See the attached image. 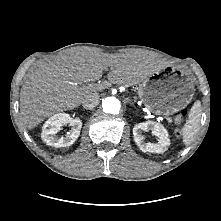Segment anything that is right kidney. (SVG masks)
I'll use <instances>...</instances> for the list:
<instances>
[{
  "instance_id": "right-kidney-1",
  "label": "right kidney",
  "mask_w": 221,
  "mask_h": 221,
  "mask_svg": "<svg viewBox=\"0 0 221 221\" xmlns=\"http://www.w3.org/2000/svg\"><path fill=\"white\" fill-rule=\"evenodd\" d=\"M64 124L72 126L70 132L64 137H58L56 134ZM82 121L79 118H72L69 114L58 113L50 117L43 125L42 138L44 141L54 147L71 146L80 135Z\"/></svg>"
}]
</instances>
